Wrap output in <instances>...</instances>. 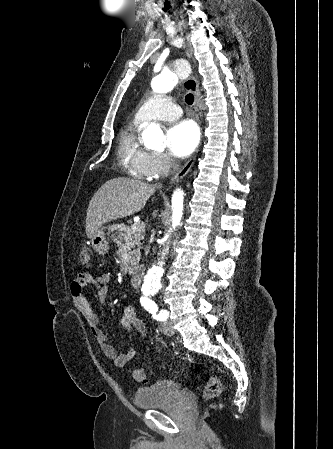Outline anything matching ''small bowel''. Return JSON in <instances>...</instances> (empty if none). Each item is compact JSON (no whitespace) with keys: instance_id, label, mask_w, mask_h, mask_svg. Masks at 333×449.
I'll return each instance as SVG.
<instances>
[{"instance_id":"small-bowel-1","label":"small bowel","mask_w":333,"mask_h":449,"mask_svg":"<svg viewBox=\"0 0 333 449\" xmlns=\"http://www.w3.org/2000/svg\"><path fill=\"white\" fill-rule=\"evenodd\" d=\"M110 276L108 273H102L93 277L89 272L79 273L71 283L70 291L75 308L82 315L88 329L95 338L103 354L113 360L116 366L123 367L135 356L134 348L128 349L124 353H118L109 343L108 336L101 329L98 316L86 297V289L94 286L97 289V295L101 302L107 297V285ZM120 327L131 334L137 344L144 341L146 336V326L136 310L128 306L125 308L120 319Z\"/></svg>"}]
</instances>
